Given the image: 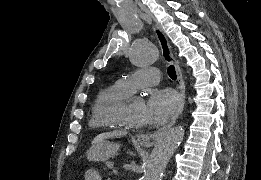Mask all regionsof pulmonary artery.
Returning <instances> with one entry per match:
<instances>
[{"mask_svg":"<svg viewBox=\"0 0 261 180\" xmlns=\"http://www.w3.org/2000/svg\"><path fill=\"white\" fill-rule=\"evenodd\" d=\"M161 79V73L158 69H136L120 78L117 84L127 93L135 88L153 89L154 85L150 83L158 82Z\"/></svg>","mask_w":261,"mask_h":180,"instance_id":"e3ab8cb5","label":"pulmonary artery"}]
</instances>
